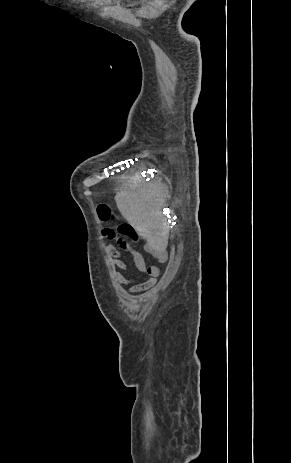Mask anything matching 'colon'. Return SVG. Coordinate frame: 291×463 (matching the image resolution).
Listing matches in <instances>:
<instances>
[{
    "label": "colon",
    "mask_w": 291,
    "mask_h": 463,
    "mask_svg": "<svg viewBox=\"0 0 291 463\" xmlns=\"http://www.w3.org/2000/svg\"><path fill=\"white\" fill-rule=\"evenodd\" d=\"M97 215L102 223H112L115 219L111 207L107 204H99L97 207ZM118 233L121 236L128 238L134 242L139 241V236L134 228L127 222H117L102 228V241L110 242L111 238Z\"/></svg>",
    "instance_id": "obj_1"
}]
</instances>
